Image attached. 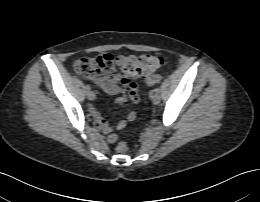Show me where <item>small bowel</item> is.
Returning <instances> with one entry per match:
<instances>
[{
    "label": "small bowel",
    "instance_id": "small-bowel-1",
    "mask_svg": "<svg viewBox=\"0 0 260 202\" xmlns=\"http://www.w3.org/2000/svg\"><path fill=\"white\" fill-rule=\"evenodd\" d=\"M102 89L112 95H116V102L118 104H125L128 100L133 103H137L139 101L138 95V87L135 83H131L130 85H124L123 83H116L115 81L110 83L101 84ZM91 114L94 120L98 123L100 129L105 133L109 134L108 141L110 143H114L117 140V136L113 134V127L106 122L104 117L95 109H91ZM135 112L131 111L127 114L126 118L120 120L117 124L118 129H123L126 127L128 122H131L135 119Z\"/></svg>",
    "mask_w": 260,
    "mask_h": 202
}]
</instances>
